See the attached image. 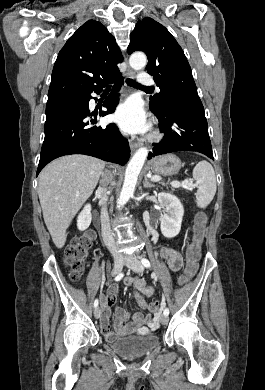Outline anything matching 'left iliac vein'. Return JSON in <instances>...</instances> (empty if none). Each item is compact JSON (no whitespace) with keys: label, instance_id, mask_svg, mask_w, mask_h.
<instances>
[{"label":"left iliac vein","instance_id":"4c4485c4","mask_svg":"<svg viewBox=\"0 0 265 390\" xmlns=\"http://www.w3.org/2000/svg\"><path fill=\"white\" fill-rule=\"evenodd\" d=\"M125 264L126 266H128L129 268H131L134 272L136 273H141L143 272L144 270V267L143 265L141 264V262L137 259L136 256L134 255H130L126 261H125ZM160 322L161 324L165 325L168 323V316L167 315H162L160 317Z\"/></svg>","mask_w":265,"mask_h":390}]
</instances>
